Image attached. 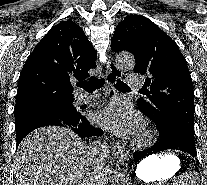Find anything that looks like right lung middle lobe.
Wrapping results in <instances>:
<instances>
[{
    "label": "right lung middle lobe",
    "mask_w": 207,
    "mask_h": 185,
    "mask_svg": "<svg viewBox=\"0 0 207 185\" xmlns=\"http://www.w3.org/2000/svg\"><path fill=\"white\" fill-rule=\"evenodd\" d=\"M45 119H52L62 123H75L81 121L84 117L83 113L77 110L72 102L41 105L15 111V129L25 124Z\"/></svg>",
    "instance_id": "1"
}]
</instances>
